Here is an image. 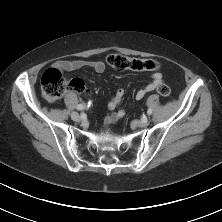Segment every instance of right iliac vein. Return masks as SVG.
<instances>
[{"label": "right iliac vein", "mask_w": 222, "mask_h": 222, "mask_svg": "<svg viewBox=\"0 0 222 222\" xmlns=\"http://www.w3.org/2000/svg\"><path fill=\"white\" fill-rule=\"evenodd\" d=\"M71 118L74 121H80V119H81L80 115L77 112H72L71 113Z\"/></svg>", "instance_id": "right-iliac-vein-1"}]
</instances>
